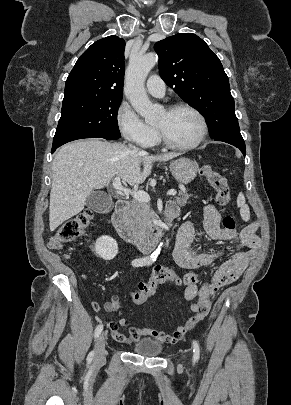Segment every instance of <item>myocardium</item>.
Segmentation results:
<instances>
[{"label": "myocardium", "instance_id": "1", "mask_svg": "<svg viewBox=\"0 0 291 405\" xmlns=\"http://www.w3.org/2000/svg\"><path fill=\"white\" fill-rule=\"evenodd\" d=\"M180 109H186V110L191 111L199 119L201 130H200V134H199L198 138L189 144H184V145L176 144V143L170 141L167 138V136L165 135V133L163 132V130L159 127H156L157 136H158L160 143L169 149L179 150V151L192 150V149L198 147L207 137L208 123H207V120H206L205 116L203 115V113L199 109H197L196 107H194L193 105L188 104V103H175V104L169 105V106H167L166 111L174 112V111H177Z\"/></svg>", "mask_w": 291, "mask_h": 405}]
</instances>
